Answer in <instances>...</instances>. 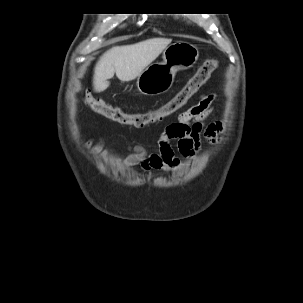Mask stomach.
I'll list each match as a JSON object with an SVG mask.
<instances>
[{
    "label": "stomach",
    "mask_w": 303,
    "mask_h": 303,
    "mask_svg": "<svg viewBox=\"0 0 303 303\" xmlns=\"http://www.w3.org/2000/svg\"><path fill=\"white\" fill-rule=\"evenodd\" d=\"M199 57L198 48L186 41H176L163 51V61L149 65L137 78L138 90L148 96L167 92L179 69L192 67Z\"/></svg>",
    "instance_id": "stomach-1"
}]
</instances>
